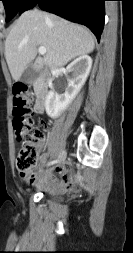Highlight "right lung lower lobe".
<instances>
[{
  "instance_id": "obj_1",
  "label": "right lung lower lobe",
  "mask_w": 133,
  "mask_h": 253,
  "mask_svg": "<svg viewBox=\"0 0 133 253\" xmlns=\"http://www.w3.org/2000/svg\"><path fill=\"white\" fill-rule=\"evenodd\" d=\"M104 2L105 0H26L18 14L39 5L42 10L89 27L99 41L104 27Z\"/></svg>"
}]
</instances>
